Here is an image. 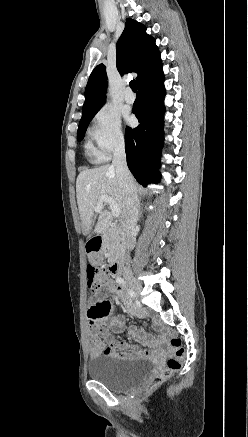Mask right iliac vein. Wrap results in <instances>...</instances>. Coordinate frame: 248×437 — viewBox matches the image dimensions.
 I'll return each mask as SVG.
<instances>
[{"label":"right iliac vein","instance_id":"obj_1","mask_svg":"<svg viewBox=\"0 0 248 437\" xmlns=\"http://www.w3.org/2000/svg\"><path fill=\"white\" fill-rule=\"evenodd\" d=\"M126 280L129 286L136 292V294H139L141 292L142 286L134 277L128 275L126 276Z\"/></svg>","mask_w":248,"mask_h":437}]
</instances>
